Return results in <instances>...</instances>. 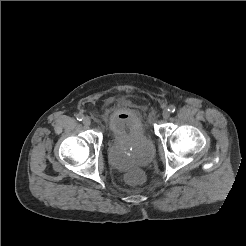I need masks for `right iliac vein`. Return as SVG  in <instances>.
<instances>
[{"label":"right iliac vein","mask_w":246,"mask_h":246,"mask_svg":"<svg viewBox=\"0 0 246 246\" xmlns=\"http://www.w3.org/2000/svg\"><path fill=\"white\" fill-rule=\"evenodd\" d=\"M83 124L85 126H90L91 125V119L89 117H84L83 118Z\"/></svg>","instance_id":"right-iliac-vein-1"}]
</instances>
